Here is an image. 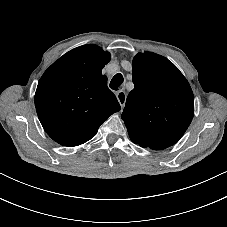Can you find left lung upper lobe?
Segmentation results:
<instances>
[{
    "label": "left lung upper lobe",
    "mask_w": 227,
    "mask_h": 227,
    "mask_svg": "<svg viewBox=\"0 0 227 227\" xmlns=\"http://www.w3.org/2000/svg\"><path fill=\"white\" fill-rule=\"evenodd\" d=\"M132 75L135 87L121 116L130 139L154 150L175 144L194 115L188 81L172 62L152 52L134 57Z\"/></svg>",
    "instance_id": "1"
}]
</instances>
